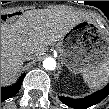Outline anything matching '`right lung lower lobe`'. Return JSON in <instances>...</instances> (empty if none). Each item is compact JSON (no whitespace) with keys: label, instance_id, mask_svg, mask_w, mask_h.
<instances>
[{"label":"right lung lower lobe","instance_id":"obj_1","mask_svg":"<svg viewBox=\"0 0 109 109\" xmlns=\"http://www.w3.org/2000/svg\"><path fill=\"white\" fill-rule=\"evenodd\" d=\"M24 77L25 73L21 75L17 83H15L14 85L1 88V102L14 96L20 90Z\"/></svg>","mask_w":109,"mask_h":109}]
</instances>
